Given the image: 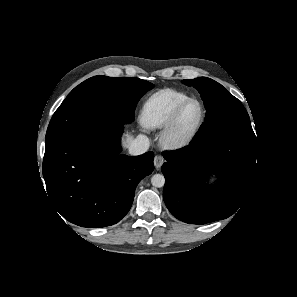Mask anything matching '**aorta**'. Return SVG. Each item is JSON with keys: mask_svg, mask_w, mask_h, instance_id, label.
<instances>
[{"mask_svg": "<svg viewBox=\"0 0 297 297\" xmlns=\"http://www.w3.org/2000/svg\"><path fill=\"white\" fill-rule=\"evenodd\" d=\"M151 183L154 187L161 188L165 184V178L162 174H155L151 178Z\"/></svg>", "mask_w": 297, "mask_h": 297, "instance_id": "aorta-1", "label": "aorta"}]
</instances>
